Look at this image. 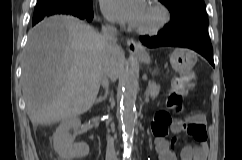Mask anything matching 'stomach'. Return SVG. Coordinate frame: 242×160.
<instances>
[{"instance_id": "obj_1", "label": "stomach", "mask_w": 242, "mask_h": 160, "mask_svg": "<svg viewBox=\"0 0 242 160\" xmlns=\"http://www.w3.org/2000/svg\"><path fill=\"white\" fill-rule=\"evenodd\" d=\"M138 58L142 62L150 64V58L148 55H138ZM196 61V54L192 50L185 48H176L170 55L171 66L180 74L190 72Z\"/></svg>"}]
</instances>
